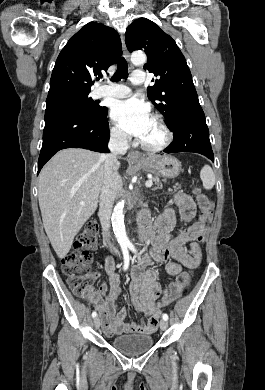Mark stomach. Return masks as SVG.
<instances>
[{
  "instance_id": "1",
  "label": "stomach",
  "mask_w": 265,
  "mask_h": 390,
  "mask_svg": "<svg viewBox=\"0 0 265 390\" xmlns=\"http://www.w3.org/2000/svg\"><path fill=\"white\" fill-rule=\"evenodd\" d=\"M138 167L157 176L175 178L181 171V162L173 156L166 155L160 158H146Z\"/></svg>"
}]
</instances>
